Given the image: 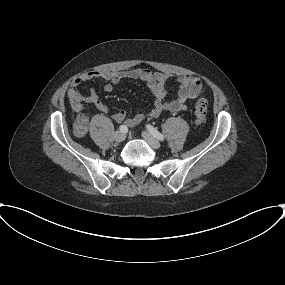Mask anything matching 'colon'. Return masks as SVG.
Returning a JSON list of instances; mask_svg holds the SVG:
<instances>
[{
  "instance_id": "colon-1",
  "label": "colon",
  "mask_w": 285,
  "mask_h": 285,
  "mask_svg": "<svg viewBox=\"0 0 285 285\" xmlns=\"http://www.w3.org/2000/svg\"><path fill=\"white\" fill-rule=\"evenodd\" d=\"M195 123L202 125L207 118V101L204 98H199L195 103ZM86 131L84 124H78L76 132L78 135H84Z\"/></svg>"
}]
</instances>
